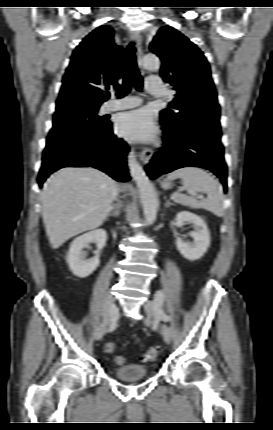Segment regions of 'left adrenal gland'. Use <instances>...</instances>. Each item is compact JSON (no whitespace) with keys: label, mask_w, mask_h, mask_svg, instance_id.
I'll return each mask as SVG.
<instances>
[{"label":"left adrenal gland","mask_w":273,"mask_h":430,"mask_svg":"<svg viewBox=\"0 0 273 430\" xmlns=\"http://www.w3.org/2000/svg\"><path fill=\"white\" fill-rule=\"evenodd\" d=\"M172 205V203H170L169 201L166 202L165 207L169 208Z\"/></svg>","instance_id":"a2214340"}]
</instances>
